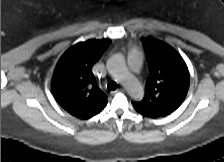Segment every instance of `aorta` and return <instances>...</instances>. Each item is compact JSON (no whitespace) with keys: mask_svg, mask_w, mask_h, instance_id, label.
Instances as JSON below:
<instances>
[{"mask_svg":"<svg viewBox=\"0 0 224 162\" xmlns=\"http://www.w3.org/2000/svg\"><path fill=\"white\" fill-rule=\"evenodd\" d=\"M108 72L123 84L128 94L135 100H141L144 96V89L138 79L133 76L119 54H115L107 62Z\"/></svg>","mask_w":224,"mask_h":162,"instance_id":"obj_1","label":"aorta"}]
</instances>
